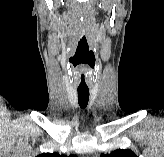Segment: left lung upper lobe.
<instances>
[{
	"instance_id": "obj_1",
	"label": "left lung upper lobe",
	"mask_w": 164,
	"mask_h": 157,
	"mask_svg": "<svg viewBox=\"0 0 164 157\" xmlns=\"http://www.w3.org/2000/svg\"><path fill=\"white\" fill-rule=\"evenodd\" d=\"M100 157H138L131 150L118 149L110 154H101Z\"/></svg>"
}]
</instances>
